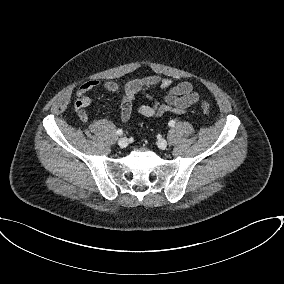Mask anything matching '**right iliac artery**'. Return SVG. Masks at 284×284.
<instances>
[{"mask_svg": "<svg viewBox=\"0 0 284 284\" xmlns=\"http://www.w3.org/2000/svg\"><path fill=\"white\" fill-rule=\"evenodd\" d=\"M116 133L121 136L123 134V131L121 129H118Z\"/></svg>", "mask_w": 284, "mask_h": 284, "instance_id": "82829eb1", "label": "right iliac artery"}]
</instances>
